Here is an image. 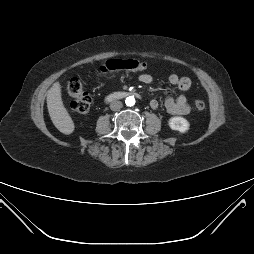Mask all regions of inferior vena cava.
I'll use <instances>...</instances> for the list:
<instances>
[{"label":"inferior vena cava","mask_w":254,"mask_h":254,"mask_svg":"<svg viewBox=\"0 0 254 254\" xmlns=\"http://www.w3.org/2000/svg\"><path fill=\"white\" fill-rule=\"evenodd\" d=\"M122 106H123V104H122L121 101H113V102H111V104H110V109H111L112 111H117V110L121 109Z\"/></svg>","instance_id":"obj_1"}]
</instances>
